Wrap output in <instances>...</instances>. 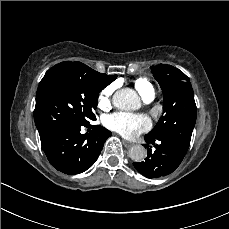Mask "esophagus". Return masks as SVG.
<instances>
[{
  "label": "esophagus",
  "instance_id": "esophagus-1",
  "mask_svg": "<svg viewBox=\"0 0 229 229\" xmlns=\"http://www.w3.org/2000/svg\"><path fill=\"white\" fill-rule=\"evenodd\" d=\"M123 144L127 149L131 148L134 145V143L126 141V140H123Z\"/></svg>",
  "mask_w": 229,
  "mask_h": 229
}]
</instances>
